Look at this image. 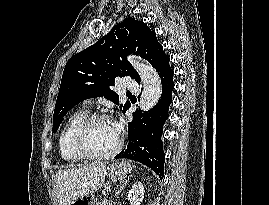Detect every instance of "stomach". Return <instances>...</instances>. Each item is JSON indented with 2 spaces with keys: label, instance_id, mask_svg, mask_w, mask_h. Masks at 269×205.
Instances as JSON below:
<instances>
[{
  "label": "stomach",
  "instance_id": "1",
  "mask_svg": "<svg viewBox=\"0 0 269 205\" xmlns=\"http://www.w3.org/2000/svg\"><path fill=\"white\" fill-rule=\"evenodd\" d=\"M132 166L129 162L122 161L121 163L111 164L106 171L107 177L113 181H123L130 175ZM70 205H94L93 199L89 195L81 196L71 202Z\"/></svg>",
  "mask_w": 269,
  "mask_h": 205
}]
</instances>
